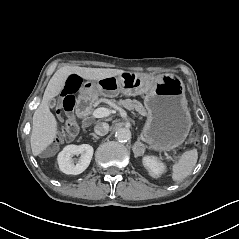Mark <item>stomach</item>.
I'll list each match as a JSON object with an SVG mask.
<instances>
[{
	"instance_id": "obj_1",
	"label": "stomach",
	"mask_w": 239,
	"mask_h": 239,
	"mask_svg": "<svg viewBox=\"0 0 239 239\" xmlns=\"http://www.w3.org/2000/svg\"><path fill=\"white\" fill-rule=\"evenodd\" d=\"M143 95L147 119L141 138L155 152L180 147L191 128L192 118L185 97V85L175 74L153 78L145 73L124 72L96 82L88 81L79 90L78 100L96 101L99 96Z\"/></svg>"
}]
</instances>
